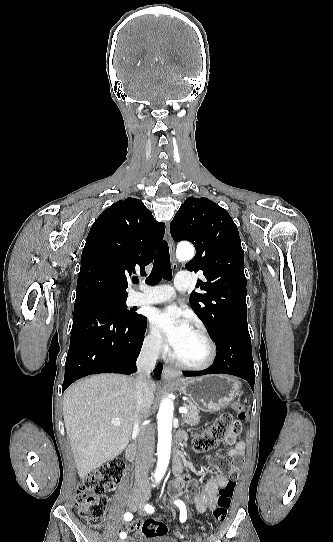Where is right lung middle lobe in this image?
<instances>
[{
    "label": "right lung middle lobe",
    "instance_id": "right-lung-middle-lobe-1",
    "mask_svg": "<svg viewBox=\"0 0 333 542\" xmlns=\"http://www.w3.org/2000/svg\"><path fill=\"white\" fill-rule=\"evenodd\" d=\"M86 298H94L96 301L102 303L109 308L115 315L120 318L128 320H136L142 315H139L133 312L132 309L128 310L126 306L127 296H119L112 293L97 292L91 293L86 296Z\"/></svg>",
    "mask_w": 333,
    "mask_h": 542
}]
</instances>
